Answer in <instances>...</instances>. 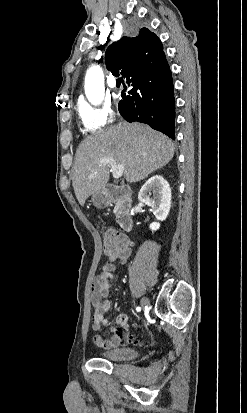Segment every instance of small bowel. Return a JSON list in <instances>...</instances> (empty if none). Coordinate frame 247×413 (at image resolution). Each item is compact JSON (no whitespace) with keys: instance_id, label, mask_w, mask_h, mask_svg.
I'll return each mask as SVG.
<instances>
[{"instance_id":"obj_1","label":"small bowel","mask_w":247,"mask_h":413,"mask_svg":"<svg viewBox=\"0 0 247 413\" xmlns=\"http://www.w3.org/2000/svg\"><path fill=\"white\" fill-rule=\"evenodd\" d=\"M131 256L132 251L129 247L114 253H108V258L102 267V271L93 281L90 293L92 305L91 328L93 331H99L103 325L107 324L106 316L111 310L109 296L112 287L113 273L117 270L118 265L128 263ZM118 321L120 326L113 329L114 333L110 338L95 335L94 343L98 347L105 349L115 348L133 340V337L127 333L128 321L124 311L118 312ZM135 329L141 330L142 324L136 323ZM121 331H123V335L120 333ZM143 340L147 341L148 337L144 336ZM136 346L140 347L141 343L137 342Z\"/></svg>"}]
</instances>
